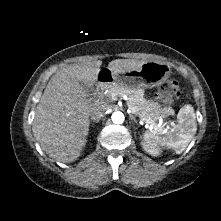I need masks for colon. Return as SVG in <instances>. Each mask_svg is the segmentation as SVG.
Segmentation results:
<instances>
[{
	"label": "colon",
	"mask_w": 221,
	"mask_h": 221,
	"mask_svg": "<svg viewBox=\"0 0 221 221\" xmlns=\"http://www.w3.org/2000/svg\"><path fill=\"white\" fill-rule=\"evenodd\" d=\"M164 93L170 98L173 99L180 95V88L177 82H170Z\"/></svg>",
	"instance_id": "5ec220e1"
}]
</instances>
